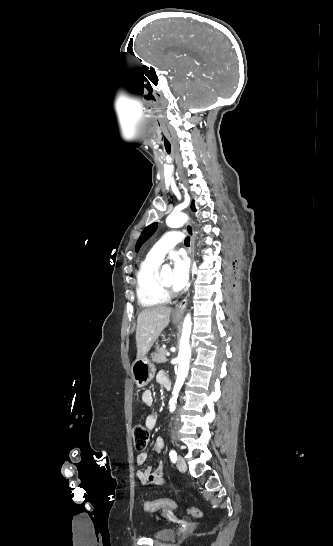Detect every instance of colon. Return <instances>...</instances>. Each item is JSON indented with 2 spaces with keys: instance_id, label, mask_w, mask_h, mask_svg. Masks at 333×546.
<instances>
[{
  "instance_id": "colon-1",
  "label": "colon",
  "mask_w": 333,
  "mask_h": 546,
  "mask_svg": "<svg viewBox=\"0 0 333 546\" xmlns=\"http://www.w3.org/2000/svg\"><path fill=\"white\" fill-rule=\"evenodd\" d=\"M133 444L136 450H144L147 447L149 441V432L142 425H136L132 432ZM142 505L144 510L148 512H155L161 508L176 509L179 507L178 503L170 499H158L154 501L143 500ZM186 511L189 515L195 518H202L203 512L197 507H186Z\"/></svg>"
}]
</instances>
